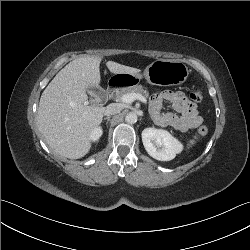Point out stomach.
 I'll return each mask as SVG.
<instances>
[{
    "instance_id": "obj_1",
    "label": "stomach",
    "mask_w": 250,
    "mask_h": 250,
    "mask_svg": "<svg viewBox=\"0 0 250 250\" xmlns=\"http://www.w3.org/2000/svg\"><path fill=\"white\" fill-rule=\"evenodd\" d=\"M189 75L188 67L173 60H156L146 67L143 74L118 73L122 79L121 86H135L143 77L148 83L158 86H174L183 84Z\"/></svg>"
}]
</instances>
